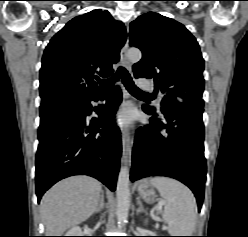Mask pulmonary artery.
<instances>
[{"mask_svg":"<svg viewBox=\"0 0 248 237\" xmlns=\"http://www.w3.org/2000/svg\"><path fill=\"white\" fill-rule=\"evenodd\" d=\"M138 86L140 88H143V89H151L152 88L150 81L148 79H145V78L140 79L138 81Z\"/></svg>","mask_w":248,"mask_h":237,"instance_id":"1","label":"pulmonary artery"}]
</instances>
